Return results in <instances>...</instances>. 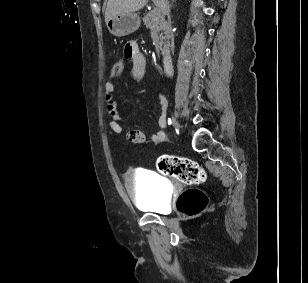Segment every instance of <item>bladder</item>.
Instances as JSON below:
<instances>
[{"label":"bladder","instance_id":"obj_1","mask_svg":"<svg viewBox=\"0 0 308 283\" xmlns=\"http://www.w3.org/2000/svg\"><path fill=\"white\" fill-rule=\"evenodd\" d=\"M126 191L133 203L140 209L163 213L168 205V185L165 180L145 169L127 173Z\"/></svg>","mask_w":308,"mask_h":283}]
</instances>
